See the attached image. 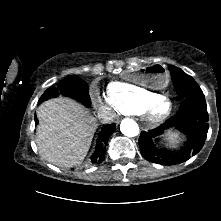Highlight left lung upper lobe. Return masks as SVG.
I'll return each mask as SVG.
<instances>
[{
  "instance_id": "left-lung-upper-lobe-1",
  "label": "left lung upper lobe",
  "mask_w": 221,
  "mask_h": 221,
  "mask_svg": "<svg viewBox=\"0 0 221 221\" xmlns=\"http://www.w3.org/2000/svg\"><path fill=\"white\" fill-rule=\"evenodd\" d=\"M169 69L172 73L171 77L174 82V86L182 100L185 98L203 95L202 90L191 76L174 66H170ZM163 165H166V161H164Z\"/></svg>"
}]
</instances>
